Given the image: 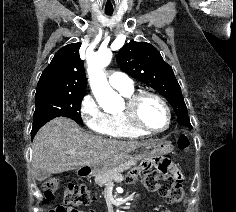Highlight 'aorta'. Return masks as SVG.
Here are the masks:
<instances>
[{"instance_id": "1", "label": "aorta", "mask_w": 236, "mask_h": 212, "mask_svg": "<svg viewBox=\"0 0 236 212\" xmlns=\"http://www.w3.org/2000/svg\"><path fill=\"white\" fill-rule=\"evenodd\" d=\"M87 72L91 90L101 107L105 110L117 108L122 103V98L109 85L104 68L112 59V53L108 50L88 54Z\"/></svg>"}]
</instances>
